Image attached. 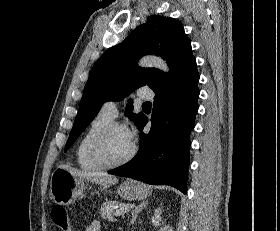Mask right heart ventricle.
<instances>
[{
    "instance_id": "1",
    "label": "right heart ventricle",
    "mask_w": 280,
    "mask_h": 231,
    "mask_svg": "<svg viewBox=\"0 0 280 231\" xmlns=\"http://www.w3.org/2000/svg\"><path fill=\"white\" fill-rule=\"evenodd\" d=\"M112 120L113 119L99 113L90 121L83 135L78 140L75 146L74 156L76 165L83 171H95L102 169V167L90 160L88 150L94 136L105 125L112 122Z\"/></svg>"
}]
</instances>
